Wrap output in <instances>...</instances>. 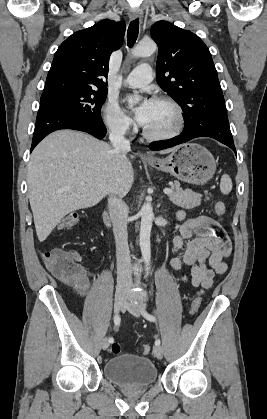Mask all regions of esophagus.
<instances>
[{"instance_id": "1", "label": "esophagus", "mask_w": 267, "mask_h": 419, "mask_svg": "<svg viewBox=\"0 0 267 419\" xmlns=\"http://www.w3.org/2000/svg\"><path fill=\"white\" fill-rule=\"evenodd\" d=\"M129 17L132 20H134L136 18H140V17H142V12L139 9H132V10L129 11ZM144 158L150 159V158H152V156L148 155V154H145Z\"/></svg>"}]
</instances>
